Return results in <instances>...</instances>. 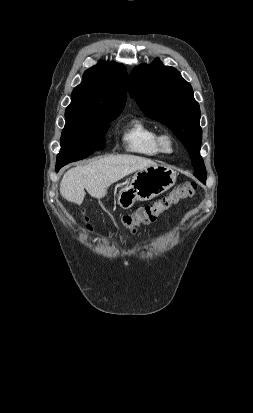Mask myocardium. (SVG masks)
I'll return each mask as SVG.
<instances>
[{
    "mask_svg": "<svg viewBox=\"0 0 253 413\" xmlns=\"http://www.w3.org/2000/svg\"><path fill=\"white\" fill-rule=\"evenodd\" d=\"M158 144L163 153L171 154L175 150L176 139L170 132H162L158 136Z\"/></svg>",
    "mask_w": 253,
    "mask_h": 413,
    "instance_id": "obj_1",
    "label": "myocardium"
}]
</instances>
